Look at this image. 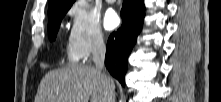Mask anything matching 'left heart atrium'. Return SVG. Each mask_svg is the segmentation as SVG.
Instances as JSON below:
<instances>
[{"instance_id":"left-heart-atrium-1","label":"left heart atrium","mask_w":221,"mask_h":102,"mask_svg":"<svg viewBox=\"0 0 221 102\" xmlns=\"http://www.w3.org/2000/svg\"><path fill=\"white\" fill-rule=\"evenodd\" d=\"M119 17L117 13L110 9L104 15V26L107 30H112L119 24Z\"/></svg>"}]
</instances>
